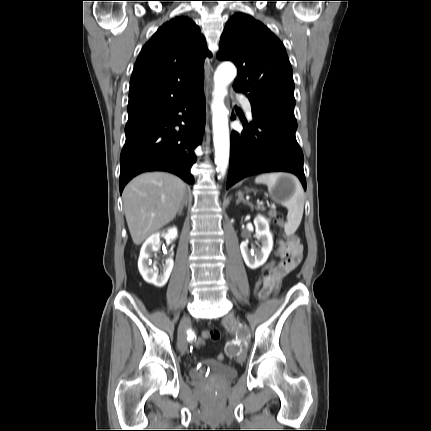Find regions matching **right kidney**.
Segmentation results:
<instances>
[{
    "label": "right kidney",
    "instance_id": "ca27d5eb",
    "mask_svg": "<svg viewBox=\"0 0 431 431\" xmlns=\"http://www.w3.org/2000/svg\"><path fill=\"white\" fill-rule=\"evenodd\" d=\"M160 236H163L166 240H175L178 236L177 228L173 227L168 229L167 232L151 235L143 244L138 259V269L143 279L147 283L153 284L159 288L167 283L174 266L173 258L170 257L166 259L160 273L156 267H151L150 258L160 244Z\"/></svg>",
    "mask_w": 431,
    "mask_h": 431
}]
</instances>
